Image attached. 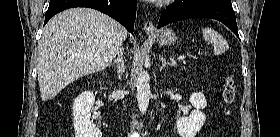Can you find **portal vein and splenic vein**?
<instances>
[{"label": "portal vein and splenic vein", "instance_id": "1", "mask_svg": "<svg viewBox=\"0 0 280 137\" xmlns=\"http://www.w3.org/2000/svg\"><path fill=\"white\" fill-rule=\"evenodd\" d=\"M186 58V56L180 57L179 59L184 60Z\"/></svg>", "mask_w": 280, "mask_h": 137}]
</instances>
